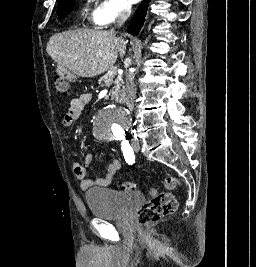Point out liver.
I'll use <instances>...</instances> for the list:
<instances>
[{"label": "liver", "instance_id": "obj_1", "mask_svg": "<svg viewBox=\"0 0 256 267\" xmlns=\"http://www.w3.org/2000/svg\"><path fill=\"white\" fill-rule=\"evenodd\" d=\"M126 42L107 30H68L51 36L46 52L61 68L82 78L104 74L125 54Z\"/></svg>", "mask_w": 256, "mask_h": 267}]
</instances>
